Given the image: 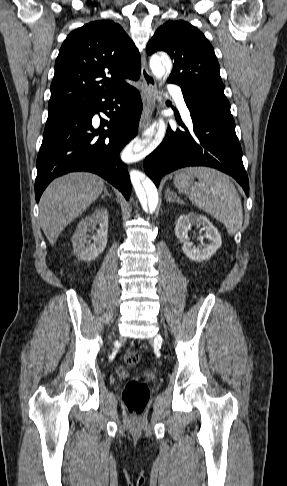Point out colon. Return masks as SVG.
<instances>
[{
  "label": "colon",
  "instance_id": "5ec220e1",
  "mask_svg": "<svg viewBox=\"0 0 287 486\" xmlns=\"http://www.w3.org/2000/svg\"><path fill=\"white\" fill-rule=\"evenodd\" d=\"M124 362L129 366H135L140 359L138 352L128 351L124 354ZM150 397L149 388L146 383L138 379L128 381L123 389V402L131 416H140Z\"/></svg>",
  "mask_w": 287,
  "mask_h": 486
}]
</instances>
